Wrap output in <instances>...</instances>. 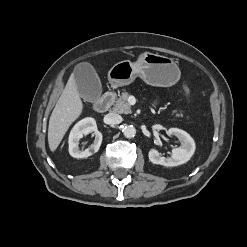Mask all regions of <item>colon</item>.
<instances>
[{"label": "colon", "mask_w": 247, "mask_h": 247, "mask_svg": "<svg viewBox=\"0 0 247 247\" xmlns=\"http://www.w3.org/2000/svg\"><path fill=\"white\" fill-rule=\"evenodd\" d=\"M185 93L188 94L189 93V90L188 88L185 87Z\"/></svg>", "instance_id": "5ec220e1"}]
</instances>
